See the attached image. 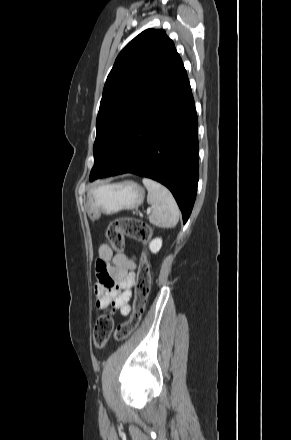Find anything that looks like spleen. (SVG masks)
<instances>
[{"label": "spleen", "mask_w": 291, "mask_h": 440, "mask_svg": "<svg viewBox=\"0 0 291 440\" xmlns=\"http://www.w3.org/2000/svg\"><path fill=\"white\" fill-rule=\"evenodd\" d=\"M142 182L148 191L147 202L153 207L149 221L163 228L176 226L180 213L172 193L152 179L143 178Z\"/></svg>", "instance_id": "obj_1"}]
</instances>
